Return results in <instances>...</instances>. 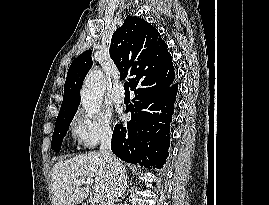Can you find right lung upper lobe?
Wrapping results in <instances>:
<instances>
[{"label": "right lung upper lobe", "mask_w": 269, "mask_h": 205, "mask_svg": "<svg viewBox=\"0 0 269 205\" xmlns=\"http://www.w3.org/2000/svg\"><path fill=\"white\" fill-rule=\"evenodd\" d=\"M110 56L121 73L129 79L134 92L175 79L172 58L159 32L141 18L128 16L111 40ZM92 66L91 51L79 55L70 65L64 85V98L58 118L76 113L80 88Z\"/></svg>", "instance_id": "obj_1"}]
</instances>
